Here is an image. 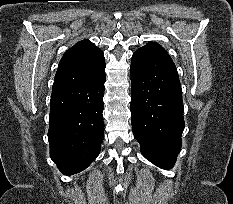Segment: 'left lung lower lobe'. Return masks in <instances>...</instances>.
<instances>
[{
  "instance_id": "left-lung-lower-lobe-1",
  "label": "left lung lower lobe",
  "mask_w": 233,
  "mask_h": 204,
  "mask_svg": "<svg viewBox=\"0 0 233 204\" xmlns=\"http://www.w3.org/2000/svg\"><path fill=\"white\" fill-rule=\"evenodd\" d=\"M131 121L141 153L169 169L180 152L184 130L182 89L170 57L139 48L132 56Z\"/></svg>"
}]
</instances>
